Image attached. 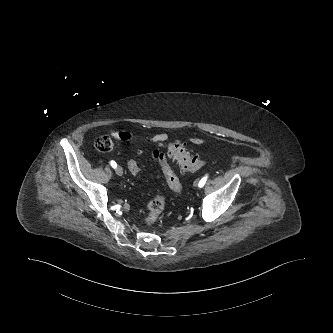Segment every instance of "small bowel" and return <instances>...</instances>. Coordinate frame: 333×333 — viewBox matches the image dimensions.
I'll return each mask as SVG.
<instances>
[{
	"mask_svg": "<svg viewBox=\"0 0 333 333\" xmlns=\"http://www.w3.org/2000/svg\"><path fill=\"white\" fill-rule=\"evenodd\" d=\"M112 136L118 141H120V140L128 141V140H131L134 138V135L131 132L123 131V130H113ZM167 139H168V135L164 132L155 133L149 137V141L154 144H162V143L166 142ZM189 141L192 144L201 145V144L205 143V138L202 136H198V135H192L189 137Z\"/></svg>",
	"mask_w": 333,
	"mask_h": 333,
	"instance_id": "small-bowel-1",
	"label": "small bowel"
}]
</instances>
